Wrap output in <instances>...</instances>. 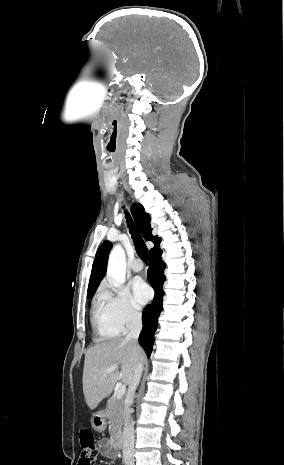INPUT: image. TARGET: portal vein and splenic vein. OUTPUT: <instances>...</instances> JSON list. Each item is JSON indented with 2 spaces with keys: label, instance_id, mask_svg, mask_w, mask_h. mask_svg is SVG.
<instances>
[{
  "label": "portal vein and splenic vein",
  "instance_id": "obj_1",
  "mask_svg": "<svg viewBox=\"0 0 284 465\" xmlns=\"http://www.w3.org/2000/svg\"><path fill=\"white\" fill-rule=\"evenodd\" d=\"M116 369H118V367H108V369L104 371L103 377H108V375H110V373H114ZM125 393H126V385H120V387H118V391H116V395H115L116 399H123Z\"/></svg>",
  "mask_w": 284,
  "mask_h": 465
}]
</instances>
